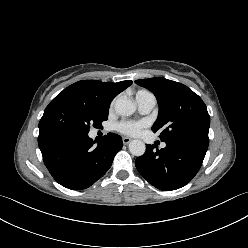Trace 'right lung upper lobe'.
<instances>
[{
    "instance_id": "cb5924a9",
    "label": "right lung upper lobe",
    "mask_w": 248,
    "mask_h": 248,
    "mask_svg": "<svg viewBox=\"0 0 248 248\" xmlns=\"http://www.w3.org/2000/svg\"><path fill=\"white\" fill-rule=\"evenodd\" d=\"M131 84L132 81L110 83L83 80L68 86L57 96L78 100L99 113H106L109 112V106L114 97Z\"/></svg>"
}]
</instances>
